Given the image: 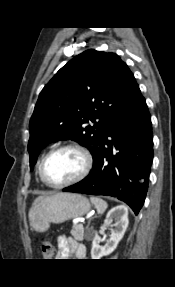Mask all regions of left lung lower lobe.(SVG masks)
Here are the masks:
<instances>
[{
	"instance_id": "obj_1",
	"label": "left lung lower lobe",
	"mask_w": 175,
	"mask_h": 287,
	"mask_svg": "<svg viewBox=\"0 0 175 287\" xmlns=\"http://www.w3.org/2000/svg\"><path fill=\"white\" fill-rule=\"evenodd\" d=\"M152 160L151 116L138 88L132 103L108 126L89 175L63 191L116 197L137 215L148 190Z\"/></svg>"
}]
</instances>
